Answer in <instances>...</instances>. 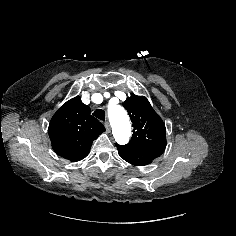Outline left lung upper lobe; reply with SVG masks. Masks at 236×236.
Returning a JSON list of instances; mask_svg holds the SVG:
<instances>
[{
  "label": "left lung upper lobe",
  "instance_id": "5c2ea615",
  "mask_svg": "<svg viewBox=\"0 0 236 236\" xmlns=\"http://www.w3.org/2000/svg\"><path fill=\"white\" fill-rule=\"evenodd\" d=\"M132 121L133 135L125 146L140 149L166 147V128L163 120L154 111L144 96L131 94L123 104Z\"/></svg>",
  "mask_w": 236,
  "mask_h": 236
}]
</instances>
